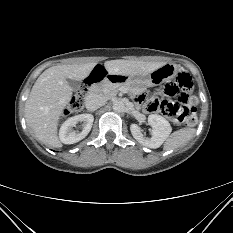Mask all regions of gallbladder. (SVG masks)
<instances>
[{
	"label": "gallbladder",
	"instance_id": "gallbladder-1",
	"mask_svg": "<svg viewBox=\"0 0 233 233\" xmlns=\"http://www.w3.org/2000/svg\"><path fill=\"white\" fill-rule=\"evenodd\" d=\"M67 81L73 91H77L80 89L81 83L79 81L70 80V79Z\"/></svg>",
	"mask_w": 233,
	"mask_h": 233
}]
</instances>
